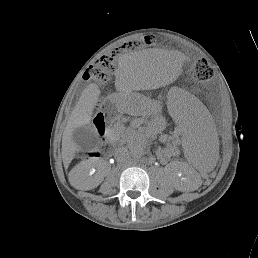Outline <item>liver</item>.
Listing matches in <instances>:
<instances>
[{
    "mask_svg": "<svg viewBox=\"0 0 258 258\" xmlns=\"http://www.w3.org/2000/svg\"><path fill=\"white\" fill-rule=\"evenodd\" d=\"M123 63H128L127 69H121L116 77L115 86L123 97L132 90V84L136 77L139 76H162L167 75L161 68L160 64L152 63L146 60H138L135 56L125 58ZM100 89L97 84H90L82 92L78 103L72 111L71 117L64 130L62 137V159L65 167H68L73 160L75 153L79 151L78 145L73 141L72 134L76 128L86 126L90 123L93 109L98 102ZM79 169L73 168L69 173L70 183L77 189L88 190L93 185L91 181L85 179H76L74 171Z\"/></svg>",
    "mask_w": 258,
    "mask_h": 258,
    "instance_id": "6515ba94",
    "label": "liver"
}]
</instances>
